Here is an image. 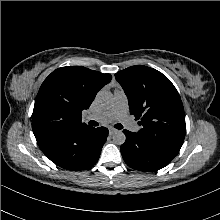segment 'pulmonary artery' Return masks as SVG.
<instances>
[{
    "label": "pulmonary artery",
    "mask_w": 220,
    "mask_h": 220,
    "mask_svg": "<svg viewBox=\"0 0 220 220\" xmlns=\"http://www.w3.org/2000/svg\"><path fill=\"white\" fill-rule=\"evenodd\" d=\"M85 120H94L101 124L109 123L113 120H118L130 131L136 132L139 129V127L128 116L127 96L125 92L120 88L115 89L114 103L108 111L96 115H89L85 118Z\"/></svg>",
    "instance_id": "e3ab8cb5"
}]
</instances>
